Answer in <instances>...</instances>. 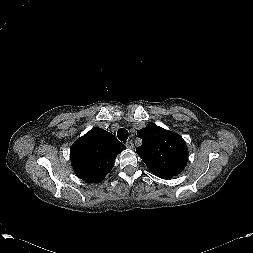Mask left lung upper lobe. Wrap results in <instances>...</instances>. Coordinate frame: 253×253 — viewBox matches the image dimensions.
I'll use <instances>...</instances> for the list:
<instances>
[{
  "mask_svg": "<svg viewBox=\"0 0 253 253\" xmlns=\"http://www.w3.org/2000/svg\"><path fill=\"white\" fill-rule=\"evenodd\" d=\"M137 136L143 142L136 152L156 176L173 177L182 172L188 149L180 135L149 123Z\"/></svg>",
  "mask_w": 253,
  "mask_h": 253,
  "instance_id": "5c2ea615",
  "label": "left lung upper lobe"
}]
</instances>
